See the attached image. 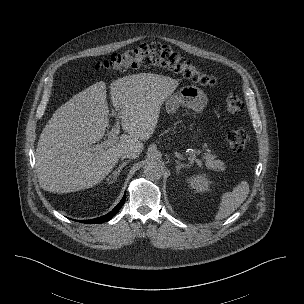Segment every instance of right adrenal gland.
I'll use <instances>...</instances> for the list:
<instances>
[{"instance_id":"right-adrenal-gland-1","label":"right adrenal gland","mask_w":304,"mask_h":304,"mask_svg":"<svg viewBox=\"0 0 304 304\" xmlns=\"http://www.w3.org/2000/svg\"><path fill=\"white\" fill-rule=\"evenodd\" d=\"M129 162H130L129 160L123 162L121 165H119V167H118L115 171H113L112 175L109 176L110 178H111V177L113 178V180H112L111 182H113L114 180H117V178H118L119 175H120L121 170H122Z\"/></svg>"}]
</instances>
